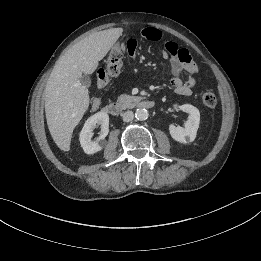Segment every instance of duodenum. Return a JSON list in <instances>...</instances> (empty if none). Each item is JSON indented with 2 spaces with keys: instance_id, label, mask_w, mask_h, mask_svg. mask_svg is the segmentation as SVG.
<instances>
[{
  "instance_id": "duodenum-1",
  "label": "duodenum",
  "mask_w": 261,
  "mask_h": 261,
  "mask_svg": "<svg viewBox=\"0 0 261 261\" xmlns=\"http://www.w3.org/2000/svg\"><path fill=\"white\" fill-rule=\"evenodd\" d=\"M137 107L150 109L154 106V101L147 99H138L135 100ZM123 110V106L120 103L113 102L106 105L103 108V111L111 116H118Z\"/></svg>"
}]
</instances>
